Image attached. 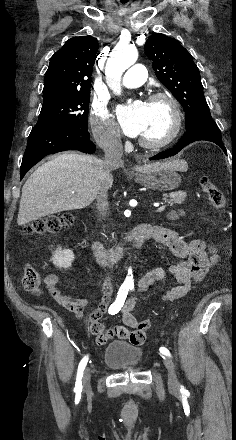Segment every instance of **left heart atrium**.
I'll use <instances>...</instances> for the list:
<instances>
[{"label": "left heart atrium", "instance_id": "39dd6f15", "mask_svg": "<svg viewBox=\"0 0 236 440\" xmlns=\"http://www.w3.org/2000/svg\"><path fill=\"white\" fill-rule=\"evenodd\" d=\"M118 116L127 136H140L148 118L147 104L136 101L130 105L121 106L118 109Z\"/></svg>", "mask_w": 236, "mask_h": 440}]
</instances>
